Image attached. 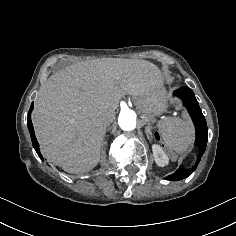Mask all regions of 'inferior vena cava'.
Here are the masks:
<instances>
[{
  "label": "inferior vena cava",
  "instance_id": "1",
  "mask_svg": "<svg viewBox=\"0 0 236 236\" xmlns=\"http://www.w3.org/2000/svg\"><path fill=\"white\" fill-rule=\"evenodd\" d=\"M107 121H110V118H107Z\"/></svg>",
  "mask_w": 236,
  "mask_h": 236
}]
</instances>
